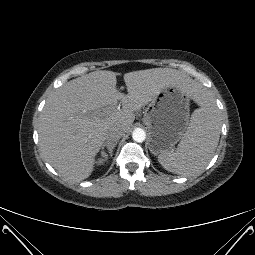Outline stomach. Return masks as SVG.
<instances>
[{"label": "stomach", "instance_id": "0dacf381", "mask_svg": "<svg viewBox=\"0 0 255 255\" xmlns=\"http://www.w3.org/2000/svg\"><path fill=\"white\" fill-rule=\"evenodd\" d=\"M190 99L182 87L172 84L152 100L154 109L146 125L152 154L168 152L184 136L189 122Z\"/></svg>", "mask_w": 255, "mask_h": 255}]
</instances>
